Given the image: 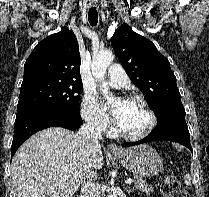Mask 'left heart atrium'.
Here are the masks:
<instances>
[{
  "label": "left heart atrium",
  "mask_w": 209,
  "mask_h": 197,
  "mask_svg": "<svg viewBox=\"0 0 209 197\" xmlns=\"http://www.w3.org/2000/svg\"><path fill=\"white\" fill-rule=\"evenodd\" d=\"M129 107V101L124 100L112 109L113 116L118 124L124 119Z\"/></svg>",
  "instance_id": "39dd6f15"
}]
</instances>
